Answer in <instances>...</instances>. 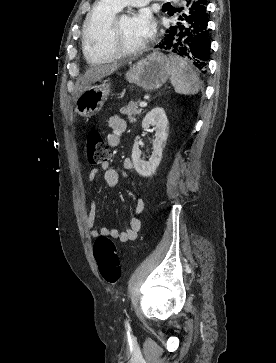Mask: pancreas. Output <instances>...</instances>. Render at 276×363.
<instances>
[{
  "instance_id": "cf45deb5",
  "label": "pancreas",
  "mask_w": 276,
  "mask_h": 363,
  "mask_svg": "<svg viewBox=\"0 0 276 363\" xmlns=\"http://www.w3.org/2000/svg\"><path fill=\"white\" fill-rule=\"evenodd\" d=\"M139 101L134 102L131 101L127 106L122 107L120 109V113L127 115L130 123H134L136 121L135 116L141 113V109L138 108Z\"/></svg>"
}]
</instances>
